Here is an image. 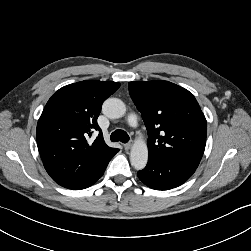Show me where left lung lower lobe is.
<instances>
[{"label": "left lung lower lobe", "instance_id": "1", "mask_svg": "<svg viewBox=\"0 0 251 251\" xmlns=\"http://www.w3.org/2000/svg\"><path fill=\"white\" fill-rule=\"evenodd\" d=\"M197 167L174 160L148 158L147 166L137 173L148 187L168 190L186 182Z\"/></svg>", "mask_w": 251, "mask_h": 251}]
</instances>
